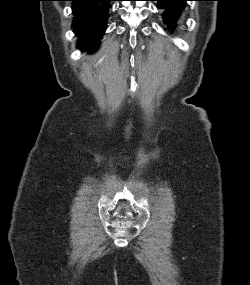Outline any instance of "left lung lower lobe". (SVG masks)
Wrapping results in <instances>:
<instances>
[{"mask_svg":"<svg viewBox=\"0 0 250 285\" xmlns=\"http://www.w3.org/2000/svg\"><path fill=\"white\" fill-rule=\"evenodd\" d=\"M158 1V8L163 9L162 13L164 23L167 25V29L175 30L177 21L181 16V11L184 7L185 1L190 0H154Z\"/></svg>","mask_w":250,"mask_h":285,"instance_id":"obj_1","label":"left lung lower lobe"}]
</instances>
